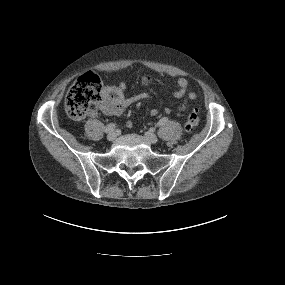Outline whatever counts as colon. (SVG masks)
Masks as SVG:
<instances>
[{"label": "colon", "mask_w": 285, "mask_h": 285, "mask_svg": "<svg viewBox=\"0 0 285 285\" xmlns=\"http://www.w3.org/2000/svg\"><path fill=\"white\" fill-rule=\"evenodd\" d=\"M102 98V82L98 75L86 72L81 75L69 89L65 98L67 114L75 120L84 119L92 106ZM199 123L198 109L194 108L188 115L185 128L190 131Z\"/></svg>", "instance_id": "5ec220e1"}]
</instances>
